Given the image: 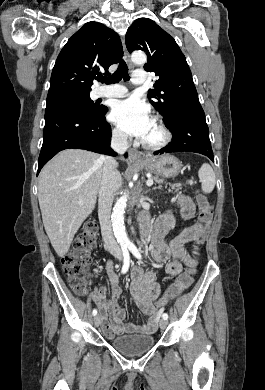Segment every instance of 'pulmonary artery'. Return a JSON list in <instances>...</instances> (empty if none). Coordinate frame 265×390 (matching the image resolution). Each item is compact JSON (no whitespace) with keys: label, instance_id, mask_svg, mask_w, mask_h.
Here are the masks:
<instances>
[{"label":"pulmonary artery","instance_id":"1","mask_svg":"<svg viewBox=\"0 0 265 390\" xmlns=\"http://www.w3.org/2000/svg\"><path fill=\"white\" fill-rule=\"evenodd\" d=\"M132 83L134 85H142L146 82V75L145 71L137 70L133 73L132 77ZM128 93V90L126 87L122 85H111V86H105L100 87L96 91V96L100 98H110V97H124Z\"/></svg>","mask_w":265,"mask_h":390}]
</instances>
